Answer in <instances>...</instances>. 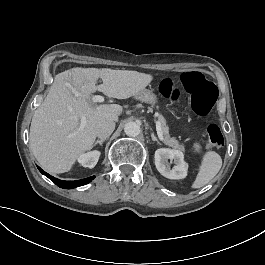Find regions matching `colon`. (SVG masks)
Returning a JSON list of instances; mask_svg holds the SVG:
<instances>
[{
  "mask_svg": "<svg viewBox=\"0 0 265 265\" xmlns=\"http://www.w3.org/2000/svg\"><path fill=\"white\" fill-rule=\"evenodd\" d=\"M182 92L172 84L170 78H164L158 87L164 100L172 106L184 105L190 101L191 109L197 116H205L217 101L219 90L211 81L206 71L193 68L187 71L181 80ZM207 141L213 150L224 148L225 140L221 129L216 123H209L206 127Z\"/></svg>",
  "mask_w": 265,
  "mask_h": 265,
  "instance_id": "1",
  "label": "colon"
}]
</instances>
